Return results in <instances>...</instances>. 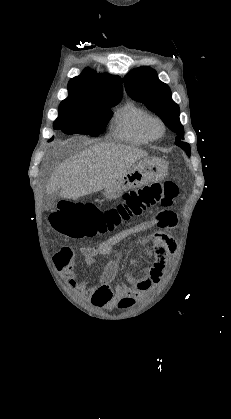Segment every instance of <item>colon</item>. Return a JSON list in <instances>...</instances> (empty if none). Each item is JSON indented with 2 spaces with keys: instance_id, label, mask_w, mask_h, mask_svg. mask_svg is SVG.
<instances>
[{
  "instance_id": "colon-1",
  "label": "colon",
  "mask_w": 231,
  "mask_h": 419,
  "mask_svg": "<svg viewBox=\"0 0 231 419\" xmlns=\"http://www.w3.org/2000/svg\"><path fill=\"white\" fill-rule=\"evenodd\" d=\"M177 194V185L173 181H165L130 190L124 194L121 203L105 211L100 210L94 204L62 202L58 209L51 214L50 222L55 230L73 236L83 235L87 232L106 233L130 219L140 216L155 205L171 206ZM164 224L162 221L161 225L164 226ZM54 259H59L61 264L66 263L61 251L55 255ZM132 304L133 300L125 297L120 301L119 306L125 308Z\"/></svg>"
}]
</instances>
